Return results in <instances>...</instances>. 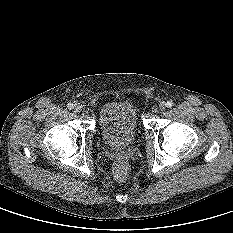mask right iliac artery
Here are the masks:
<instances>
[{
    "label": "right iliac artery",
    "instance_id": "right-iliac-artery-1",
    "mask_svg": "<svg viewBox=\"0 0 233 233\" xmlns=\"http://www.w3.org/2000/svg\"><path fill=\"white\" fill-rule=\"evenodd\" d=\"M67 107H68L69 110H71V109L74 108V105L72 103H68Z\"/></svg>",
    "mask_w": 233,
    "mask_h": 233
}]
</instances>
